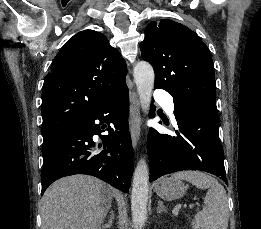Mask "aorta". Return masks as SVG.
<instances>
[{
    "label": "aorta",
    "instance_id": "1",
    "mask_svg": "<svg viewBox=\"0 0 261 229\" xmlns=\"http://www.w3.org/2000/svg\"><path fill=\"white\" fill-rule=\"evenodd\" d=\"M133 72L142 108L147 112L154 86L153 66L146 60H139V62H136ZM148 193L149 169L146 161L141 159L134 171L131 191L132 223L138 225V227H143L147 221Z\"/></svg>",
    "mask_w": 261,
    "mask_h": 229
}]
</instances>
